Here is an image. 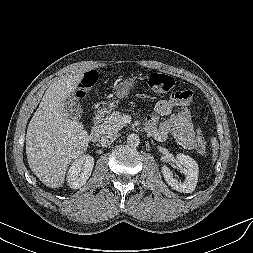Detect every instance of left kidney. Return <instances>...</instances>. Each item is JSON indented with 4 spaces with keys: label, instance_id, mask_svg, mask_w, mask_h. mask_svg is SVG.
<instances>
[{
    "label": "left kidney",
    "instance_id": "left-kidney-1",
    "mask_svg": "<svg viewBox=\"0 0 253 253\" xmlns=\"http://www.w3.org/2000/svg\"><path fill=\"white\" fill-rule=\"evenodd\" d=\"M180 172L186 178L183 182L176 179L170 169L164 165L162 167V174L166 183L174 190L182 193H191L195 190L198 182L199 167L196 161L188 155L179 153L176 156Z\"/></svg>",
    "mask_w": 253,
    "mask_h": 253
}]
</instances>
